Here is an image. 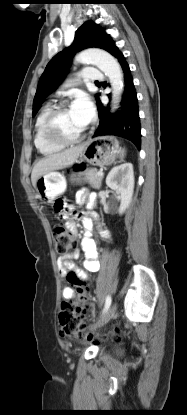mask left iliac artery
I'll return each instance as SVG.
<instances>
[{
  "label": "left iliac artery",
  "mask_w": 187,
  "mask_h": 415,
  "mask_svg": "<svg viewBox=\"0 0 187 415\" xmlns=\"http://www.w3.org/2000/svg\"><path fill=\"white\" fill-rule=\"evenodd\" d=\"M111 302H112L111 296H107L103 313H105L109 309Z\"/></svg>",
  "instance_id": "obj_1"
}]
</instances>
